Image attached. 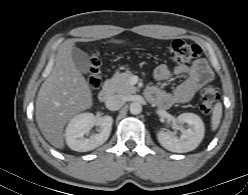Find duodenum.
<instances>
[{"label":"duodenum","instance_id":"duodenum-1","mask_svg":"<svg viewBox=\"0 0 248 195\" xmlns=\"http://www.w3.org/2000/svg\"><path fill=\"white\" fill-rule=\"evenodd\" d=\"M112 97V86L108 83L104 85L98 92V99L101 102H108Z\"/></svg>","mask_w":248,"mask_h":195}]
</instances>
